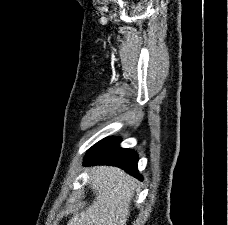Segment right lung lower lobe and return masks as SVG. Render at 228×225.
I'll return each instance as SVG.
<instances>
[{"instance_id": "98d812e1", "label": "right lung lower lobe", "mask_w": 228, "mask_h": 225, "mask_svg": "<svg viewBox=\"0 0 228 225\" xmlns=\"http://www.w3.org/2000/svg\"><path fill=\"white\" fill-rule=\"evenodd\" d=\"M119 138H105L95 144L85 156L84 165L103 164L124 169L127 173L142 180L137 170L136 152L119 147Z\"/></svg>"}]
</instances>
